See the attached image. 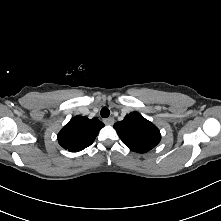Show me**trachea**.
Masks as SVG:
<instances>
[{
    "mask_svg": "<svg viewBox=\"0 0 221 221\" xmlns=\"http://www.w3.org/2000/svg\"><path fill=\"white\" fill-rule=\"evenodd\" d=\"M100 115H101L103 118H107V117H109V115H110V110H109L107 107H103V108L101 109Z\"/></svg>",
    "mask_w": 221,
    "mask_h": 221,
    "instance_id": "trachea-1",
    "label": "trachea"
}]
</instances>
